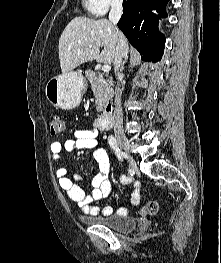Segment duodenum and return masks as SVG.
<instances>
[{
	"instance_id": "1",
	"label": "duodenum",
	"mask_w": 221,
	"mask_h": 263,
	"mask_svg": "<svg viewBox=\"0 0 221 263\" xmlns=\"http://www.w3.org/2000/svg\"><path fill=\"white\" fill-rule=\"evenodd\" d=\"M113 125V106L108 104L97 121V127L100 130H108Z\"/></svg>"
}]
</instances>
